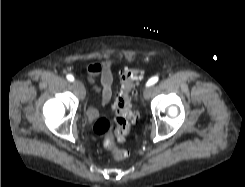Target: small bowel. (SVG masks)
I'll return each mask as SVG.
<instances>
[{
    "label": "small bowel",
    "mask_w": 245,
    "mask_h": 187,
    "mask_svg": "<svg viewBox=\"0 0 245 187\" xmlns=\"http://www.w3.org/2000/svg\"><path fill=\"white\" fill-rule=\"evenodd\" d=\"M87 75L93 89L98 94L97 104L107 105L112 97L113 63L111 61L91 63L87 66ZM87 113L90 119H94L98 115V110L90 107Z\"/></svg>",
    "instance_id": "1"
}]
</instances>
